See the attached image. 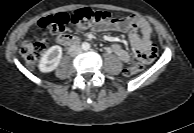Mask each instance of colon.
<instances>
[{"instance_id": "5ec220e1", "label": "colon", "mask_w": 194, "mask_h": 133, "mask_svg": "<svg viewBox=\"0 0 194 133\" xmlns=\"http://www.w3.org/2000/svg\"><path fill=\"white\" fill-rule=\"evenodd\" d=\"M117 18L108 11L97 10L93 8H80L68 13H58L42 18L39 22L42 28L48 29L51 33L61 32L65 25L72 23L79 29H85L92 26L109 25L114 23ZM49 43L47 36L25 41L20 47V54L29 67H34L42 57ZM139 61L133 65L126 67L123 71L125 76H132L142 71L145 66L150 63L155 54L140 53Z\"/></svg>"}]
</instances>
